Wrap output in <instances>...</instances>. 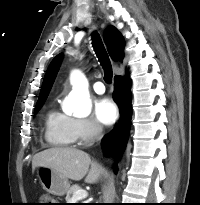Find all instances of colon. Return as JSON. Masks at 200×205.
I'll return each instance as SVG.
<instances>
[{"instance_id":"colon-1","label":"colon","mask_w":200,"mask_h":205,"mask_svg":"<svg viewBox=\"0 0 200 205\" xmlns=\"http://www.w3.org/2000/svg\"><path fill=\"white\" fill-rule=\"evenodd\" d=\"M38 205H53V199L49 194H42L39 198Z\"/></svg>"}]
</instances>
